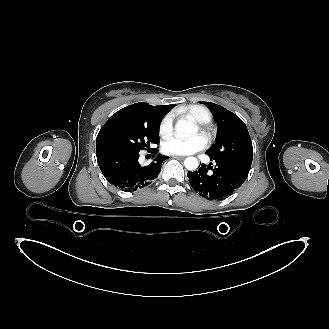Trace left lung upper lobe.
Masks as SVG:
<instances>
[{
	"instance_id": "left-lung-upper-lobe-1",
	"label": "left lung upper lobe",
	"mask_w": 329,
	"mask_h": 329,
	"mask_svg": "<svg viewBox=\"0 0 329 329\" xmlns=\"http://www.w3.org/2000/svg\"><path fill=\"white\" fill-rule=\"evenodd\" d=\"M218 121L219 130L216 143L207 150L212 160H223L251 168L253 159L252 141L244 122L224 107L201 102Z\"/></svg>"
}]
</instances>
